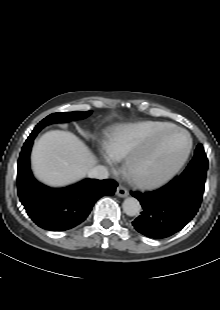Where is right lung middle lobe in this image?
Listing matches in <instances>:
<instances>
[{"label": "right lung middle lobe", "instance_id": "dd1d6c3e", "mask_svg": "<svg viewBox=\"0 0 220 310\" xmlns=\"http://www.w3.org/2000/svg\"><path fill=\"white\" fill-rule=\"evenodd\" d=\"M91 112L92 111H87V112L75 111V112L54 113V114L47 116L40 123H38V125L34 128V131L39 132L43 127H45L46 125L52 124V123H57V122L62 123V122H67V121H72V120L83 119L89 116Z\"/></svg>", "mask_w": 220, "mask_h": 310}]
</instances>
